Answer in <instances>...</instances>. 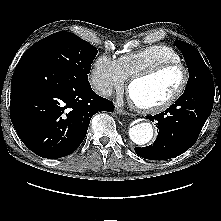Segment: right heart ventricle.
<instances>
[{
    "instance_id": "e07e8e85",
    "label": "right heart ventricle",
    "mask_w": 221,
    "mask_h": 221,
    "mask_svg": "<svg viewBox=\"0 0 221 221\" xmlns=\"http://www.w3.org/2000/svg\"><path fill=\"white\" fill-rule=\"evenodd\" d=\"M168 61L180 62L181 57L172 47L164 44L146 46L123 54L117 60L126 79L151 66Z\"/></svg>"
}]
</instances>
